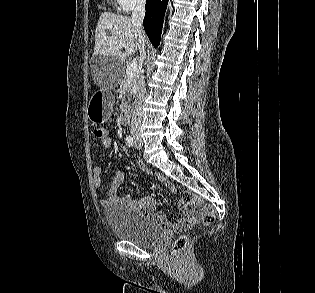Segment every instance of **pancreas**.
<instances>
[{"instance_id":"cf45deb5","label":"pancreas","mask_w":315,"mask_h":293,"mask_svg":"<svg viewBox=\"0 0 315 293\" xmlns=\"http://www.w3.org/2000/svg\"><path fill=\"white\" fill-rule=\"evenodd\" d=\"M137 77V73H134L132 76H127L121 81L119 92L123 93V99L121 103V107L125 106L126 97L129 94L133 93L134 90V81Z\"/></svg>"}]
</instances>
